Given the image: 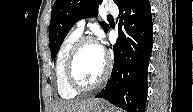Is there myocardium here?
Instances as JSON below:
<instances>
[{"mask_svg": "<svg viewBox=\"0 0 193 112\" xmlns=\"http://www.w3.org/2000/svg\"><path fill=\"white\" fill-rule=\"evenodd\" d=\"M87 43H96L99 45V42L95 37H92V36L80 37L72 46L66 60L65 72H66L67 81L69 85L77 92H88L98 88L106 81L111 70L110 56L104 52L105 66L100 77L93 84H90V85H85L78 81L74 72V63L78 53L80 52L82 47Z\"/></svg>", "mask_w": 193, "mask_h": 112, "instance_id": "obj_1", "label": "myocardium"}]
</instances>
